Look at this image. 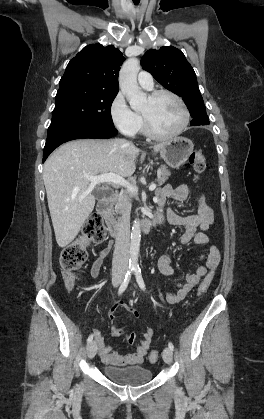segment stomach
I'll use <instances>...</instances> for the list:
<instances>
[{"instance_id":"stomach-1","label":"stomach","mask_w":264,"mask_h":419,"mask_svg":"<svg viewBox=\"0 0 264 419\" xmlns=\"http://www.w3.org/2000/svg\"><path fill=\"white\" fill-rule=\"evenodd\" d=\"M193 142L185 137H176L163 144L161 158L172 168L182 165L193 152Z\"/></svg>"}]
</instances>
